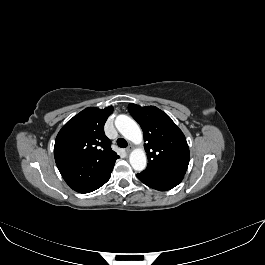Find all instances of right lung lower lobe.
I'll return each mask as SVG.
<instances>
[{
  "label": "right lung lower lobe",
  "instance_id": "obj_1",
  "mask_svg": "<svg viewBox=\"0 0 265 265\" xmlns=\"http://www.w3.org/2000/svg\"><path fill=\"white\" fill-rule=\"evenodd\" d=\"M110 176H111V173H109L107 176H105L103 179H101L100 181L96 182L95 184H93L89 188L81 191L80 193H89V192H92V191L100 188L102 185H104L110 179Z\"/></svg>",
  "mask_w": 265,
  "mask_h": 265
}]
</instances>
